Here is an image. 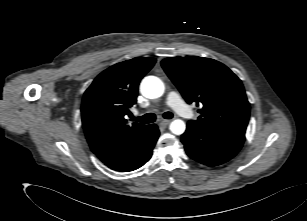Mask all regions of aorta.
<instances>
[{
  "label": "aorta",
  "instance_id": "aorta-1",
  "mask_svg": "<svg viewBox=\"0 0 307 221\" xmlns=\"http://www.w3.org/2000/svg\"><path fill=\"white\" fill-rule=\"evenodd\" d=\"M164 84L163 82L155 76L145 77L140 85V91L143 96L146 98L154 99L163 95L164 93ZM170 130L175 135H181L185 132L186 125L184 121L176 119L171 122Z\"/></svg>",
  "mask_w": 307,
  "mask_h": 221
}]
</instances>
